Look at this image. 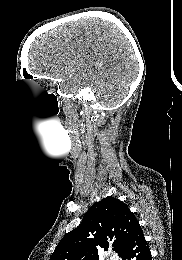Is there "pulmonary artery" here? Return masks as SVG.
I'll return each mask as SVG.
<instances>
[{"instance_id":"pulmonary-artery-1","label":"pulmonary artery","mask_w":182,"mask_h":260,"mask_svg":"<svg viewBox=\"0 0 182 260\" xmlns=\"http://www.w3.org/2000/svg\"><path fill=\"white\" fill-rule=\"evenodd\" d=\"M109 260H121V258L116 255H112L110 256Z\"/></svg>"}]
</instances>
